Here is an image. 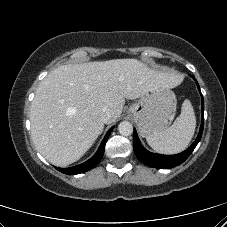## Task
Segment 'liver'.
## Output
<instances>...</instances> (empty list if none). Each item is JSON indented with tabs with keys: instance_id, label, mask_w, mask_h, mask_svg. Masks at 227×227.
I'll list each match as a JSON object with an SVG mask.
<instances>
[{
	"instance_id": "6515ba94",
	"label": "liver",
	"mask_w": 227,
	"mask_h": 227,
	"mask_svg": "<svg viewBox=\"0 0 227 227\" xmlns=\"http://www.w3.org/2000/svg\"><path fill=\"white\" fill-rule=\"evenodd\" d=\"M181 77L156 71L137 59L62 65L39 84L31 104V136L40 154L56 166L79 160L107 124L121 116L125 99L140 98L157 87L173 88Z\"/></svg>"
}]
</instances>
